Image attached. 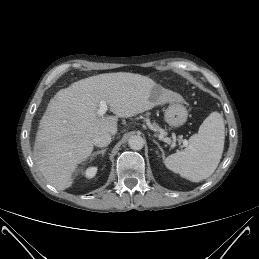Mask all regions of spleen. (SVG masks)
Here are the masks:
<instances>
[{
  "label": "spleen",
  "instance_id": "1",
  "mask_svg": "<svg viewBox=\"0 0 259 259\" xmlns=\"http://www.w3.org/2000/svg\"><path fill=\"white\" fill-rule=\"evenodd\" d=\"M225 125L218 112H212L189 138V146L169 155L165 166L192 182L210 177L216 170L224 149Z\"/></svg>",
  "mask_w": 259,
  "mask_h": 259
}]
</instances>
